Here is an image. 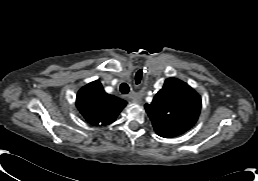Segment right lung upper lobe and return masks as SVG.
I'll list each match as a JSON object with an SVG mask.
<instances>
[{"label": "right lung upper lobe", "mask_w": 258, "mask_h": 181, "mask_svg": "<svg viewBox=\"0 0 258 181\" xmlns=\"http://www.w3.org/2000/svg\"><path fill=\"white\" fill-rule=\"evenodd\" d=\"M126 104V101L107 94L99 81L82 87L76 98L78 110L94 126H105L114 122Z\"/></svg>", "instance_id": "cb5924a9"}]
</instances>
